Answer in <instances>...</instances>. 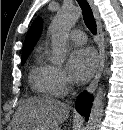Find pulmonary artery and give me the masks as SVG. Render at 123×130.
Masks as SVG:
<instances>
[{"mask_svg": "<svg viewBox=\"0 0 123 130\" xmlns=\"http://www.w3.org/2000/svg\"><path fill=\"white\" fill-rule=\"evenodd\" d=\"M69 39L76 44H84L86 42V35L81 30H72L69 34Z\"/></svg>", "mask_w": 123, "mask_h": 130, "instance_id": "e3ab8cb5", "label": "pulmonary artery"}]
</instances>
